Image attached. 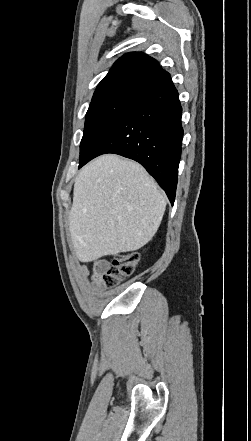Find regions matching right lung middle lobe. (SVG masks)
I'll list each match as a JSON object with an SVG mask.
<instances>
[{
  "instance_id": "dd1d6c3e",
  "label": "right lung middle lobe",
  "mask_w": 251,
  "mask_h": 441,
  "mask_svg": "<svg viewBox=\"0 0 251 441\" xmlns=\"http://www.w3.org/2000/svg\"><path fill=\"white\" fill-rule=\"evenodd\" d=\"M136 101V99L114 98L90 104L80 144L79 164L87 159L103 135Z\"/></svg>"
}]
</instances>
